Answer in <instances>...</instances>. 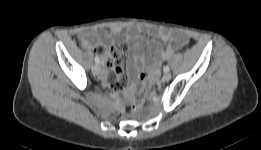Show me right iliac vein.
Returning a JSON list of instances; mask_svg holds the SVG:
<instances>
[{
  "instance_id": "1",
  "label": "right iliac vein",
  "mask_w": 261,
  "mask_h": 150,
  "mask_svg": "<svg viewBox=\"0 0 261 150\" xmlns=\"http://www.w3.org/2000/svg\"><path fill=\"white\" fill-rule=\"evenodd\" d=\"M100 71H101V68H100V66H99L98 64H94V65L92 66V72H93V74L98 75V74L100 73Z\"/></svg>"
}]
</instances>
